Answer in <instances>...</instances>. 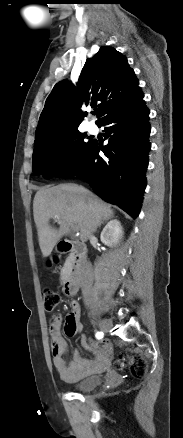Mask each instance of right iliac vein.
<instances>
[{
	"label": "right iliac vein",
	"mask_w": 183,
	"mask_h": 438,
	"mask_svg": "<svg viewBox=\"0 0 183 438\" xmlns=\"http://www.w3.org/2000/svg\"><path fill=\"white\" fill-rule=\"evenodd\" d=\"M98 326L103 332H108L112 327V322L107 319L98 320Z\"/></svg>",
	"instance_id": "1"
}]
</instances>
